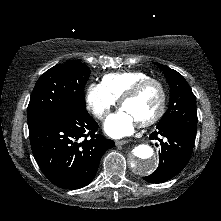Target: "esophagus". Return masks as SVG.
I'll list each match as a JSON object with an SVG mask.
<instances>
[{
    "instance_id": "34e87169",
    "label": "esophagus",
    "mask_w": 221,
    "mask_h": 221,
    "mask_svg": "<svg viewBox=\"0 0 221 221\" xmlns=\"http://www.w3.org/2000/svg\"><path fill=\"white\" fill-rule=\"evenodd\" d=\"M130 142V140H117L115 142L116 146H121V145H124L126 143Z\"/></svg>"
}]
</instances>
